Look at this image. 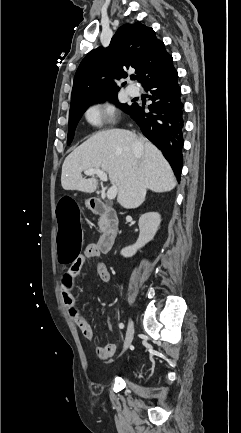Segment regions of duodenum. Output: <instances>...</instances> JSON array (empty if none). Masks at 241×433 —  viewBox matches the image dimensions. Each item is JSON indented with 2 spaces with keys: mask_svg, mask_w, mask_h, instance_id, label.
Instances as JSON below:
<instances>
[{
  "mask_svg": "<svg viewBox=\"0 0 241 433\" xmlns=\"http://www.w3.org/2000/svg\"><path fill=\"white\" fill-rule=\"evenodd\" d=\"M90 210L102 217L103 230L97 243L101 253H108L118 235V217L115 210L99 198L93 197L88 201Z\"/></svg>",
  "mask_w": 241,
  "mask_h": 433,
  "instance_id": "1",
  "label": "duodenum"
}]
</instances>
